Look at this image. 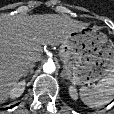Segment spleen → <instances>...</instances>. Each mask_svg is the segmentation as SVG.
I'll list each match as a JSON object with an SVG mask.
<instances>
[{"instance_id": "3e777b00", "label": "spleen", "mask_w": 114, "mask_h": 114, "mask_svg": "<svg viewBox=\"0 0 114 114\" xmlns=\"http://www.w3.org/2000/svg\"><path fill=\"white\" fill-rule=\"evenodd\" d=\"M81 100L90 108H99L110 103L114 97V70L102 78L92 89L80 88Z\"/></svg>"}]
</instances>
